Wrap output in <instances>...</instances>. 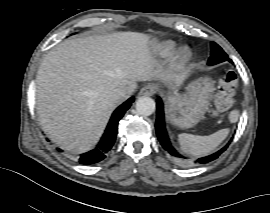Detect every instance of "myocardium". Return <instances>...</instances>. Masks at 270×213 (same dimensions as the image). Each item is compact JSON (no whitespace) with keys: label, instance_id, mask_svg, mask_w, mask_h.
<instances>
[{"label":"myocardium","instance_id":"1","mask_svg":"<svg viewBox=\"0 0 270 213\" xmlns=\"http://www.w3.org/2000/svg\"><path fill=\"white\" fill-rule=\"evenodd\" d=\"M191 56V51L188 46L180 47L174 55V63L175 64H182L186 62Z\"/></svg>","mask_w":270,"mask_h":213}]
</instances>
